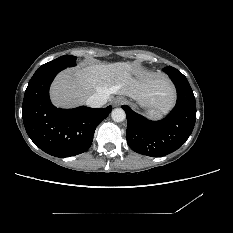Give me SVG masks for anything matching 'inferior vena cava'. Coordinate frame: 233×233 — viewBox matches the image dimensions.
Wrapping results in <instances>:
<instances>
[{
	"label": "inferior vena cava",
	"mask_w": 233,
	"mask_h": 233,
	"mask_svg": "<svg viewBox=\"0 0 233 233\" xmlns=\"http://www.w3.org/2000/svg\"><path fill=\"white\" fill-rule=\"evenodd\" d=\"M107 100L108 95L106 93L98 92L87 99L86 105L92 108H99L105 105Z\"/></svg>",
	"instance_id": "inferior-vena-cava-1"
}]
</instances>
